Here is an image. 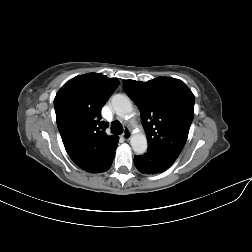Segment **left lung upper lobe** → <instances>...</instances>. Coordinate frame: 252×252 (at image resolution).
<instances>
[{
    "mask_svg": "<svg viewBox=\"0 0 252 252\" xmlns=\"http://www.w3.org/2000/svg\"><path fill=\"white\" fill-rule=\"evenodd\" d=\"M123 87L140 110L148 148L178 157L194 117L195 98L184 82L161 77L147 81L126 80Z\"/></svg>",
    "mask_w": 252,
    "mask_h": 252,
    "instance_id": "1",
    "label": "left lung upper lobe"
}]
</instances>
